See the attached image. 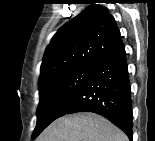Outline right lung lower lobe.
<instances>
[{
  "label": "right lung lower lobe",
  "instance_id": "right-lung-lower-lobe-1",
  "mask_svg": "<svg viewBox=\"0 0 155 141\" xmlns=\"http://www.w3.org/2000/svg\"><path fill=\"white\" fill-rule=\"evenodd\" d=\"M76 112L103 115L132 140L131 86L121 38L95 66L88 80L59 117Z\"/></svg>",
  "mask_w": 155,
  "mask_h": 141
}]
</instances>
